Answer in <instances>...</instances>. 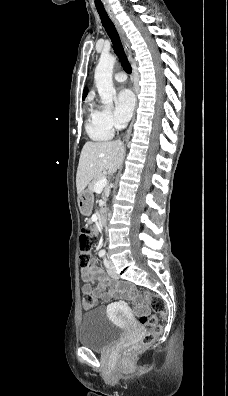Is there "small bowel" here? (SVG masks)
Masks as SVG:
<instances>
[{"mask_svg":"<svg viewBox=\"0 0 228 396\" xmlns=\"http://www.w3.org/2000/svg\"><path fill=\"white\" fill-rule=\"evenodd\" d=\"M95 232L96 230L94 229L93 233ZM81 277L85 282L82 286V292L84 294L93 295L105 302L111 301L113 297L129 300L133 305V311L136 315H143L147 312V308L142 304L131 284L119 283L110 279L97 266L95 261L88 267L82 268ZM95 281L97 282V286L93 288L91 283ZM107 288L110 291L107 292ZM115 305L128 310V307L122 302H117Z\"/></svg>","mask_w":228,"mask_h":396,"instance_id":"1","label":"small bowel"}]
</instances>
